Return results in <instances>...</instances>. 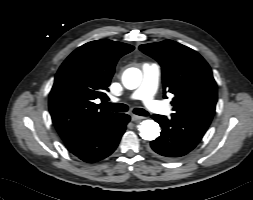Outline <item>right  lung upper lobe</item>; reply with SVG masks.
Here are the masks:
<instances>
[{"instance_id":"1","label":"right lung upper lobe","mask_w":253,"mask_h":200,"mask_svg":"<svg viewBox=\"0 0 253 200\" xmlns=\"http://www.w3.org/2000/svg\"><path fill=\"white\" fill-rule=\"evenodd\" d=\"M133 46L96 40L77 48L60 66L49 95L53 123L64 142L102 127L118 113L98 107L94 100L108 99L117 60Z\"/></svg>"}]
</instances>
